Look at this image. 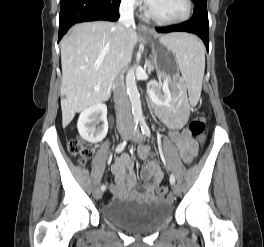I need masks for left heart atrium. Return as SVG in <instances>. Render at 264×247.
<instances>
[{
	"label": "left heart atrium",
	"mask_w": 264,
	"mask_h": 247,
	"mask_svg": "<svg viewBox=\"0 0 264 247\" xmlns=\"http://www.w3.org/2000/svg\"><path fill=\"white\" fill-rule=\"evenodd\" d=\"M145 2H146L148 5L152 6V5L156 2V0H145Z\"/></svg>",
	"instance_id": "39dd6f15"
}]
</instances>
